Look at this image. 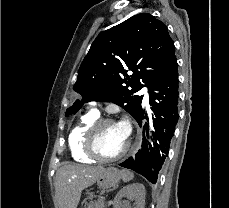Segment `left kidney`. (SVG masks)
<instances>
[{"label": "left kidney", "mask_w": 229, "mask_h": 208, "mask_svg": "<svg viewBox=\"0 0 229 208\" xmlns=\"http://www.w3.org/2000/svg\"><path fill=\"white\" fill-rule=\"evenodd\" d=\"M145 196L146 190L143 184H130V186H125L118 192L114 200V206L115 208H127V202H122V198H128V200H135L136 208H144Z\"/></svg>", "instance_id": "left-kidney-1"}]
</instances>
